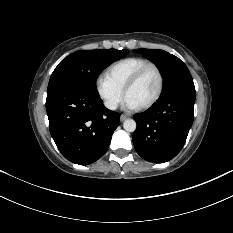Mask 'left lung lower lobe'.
Masks as SVG:
<instances>
[{
    "instance_id": "1",
    "label": "left lung lower lobe",
    "mask_w": 233,
    "mask_h": 233,
    "mask_svg": "<svg viewBox=\"0 0 233 233\" xmlns=\"http://www.w3.org/2000/svg\"><path fill=\"white\" fill-rule=\"evenodd\" d=\"M195 93L175 92L152 109L134 115L133 144L145 160L163 163L182 149L194 118Z\"/></svg>"
}]
</instances>
